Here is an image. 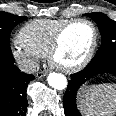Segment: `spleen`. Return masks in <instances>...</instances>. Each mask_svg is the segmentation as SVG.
Segmentation results:
<instances>
[{
	"label": "spleen",
	"mask_w": 116,
	"mask_h": 116,
	"mask_svg": "<svg viewBox=\"0 0 116 116\" xmlns=\"http://www.w3.org/2000/svg\"><path fill=\"white\" fill-rule=\"evenodd\" d=\"M80 108L85 116H113L116 112V85L104 84L82 90Z\"/></svg>",
	"instance_id": "1"
}]
</instances>
